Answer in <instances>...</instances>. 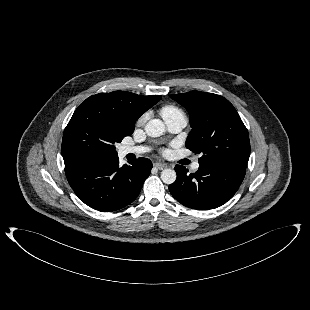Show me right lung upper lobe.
Returning a JSON list of instances; mask_svg holds the SVG:
<instances>
[{
    "mask_svg": "<svg viewBox=\"0 0 310 310\" xmlns=\"http://www.w3.org/2000/svg\"><path fill=\"white\" fill-rule=\"evenodd\" d=\"M162 96H141L126 91L99 93L87 98L74 112L85 116H107L127 130L134 129L137 119L155 105ZM62 155L65 165L82 161L68 154L64 147Z\"/></svg>",
    "mask_w": 310,
    "mask_h": 310,
    "instance_id": "right-lung-upper-lobe-1",
    "label": "right lung upper lobe"
}]
</instances>
